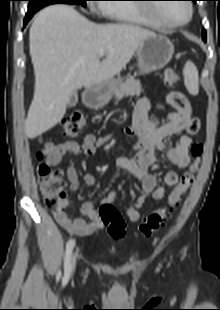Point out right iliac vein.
Instances as JSON below:
<instances>
[{
  "label": "right iliac vein",
  "instance_id": "right-iliac-vein-1",
  "mask_svg": "<svg viewBox=\"0 0 220 310\" xmlns=\"http://www.w3.org/2000/svg\"><path fill=\"white\" fill-rule=\"evenodd\" d=\"M76 265V255L73 254L71 258V269H70V274L74 271Z\"/></svg>",
  "mask_w": 220,
  "mask_h": 310
}]
</instances>
